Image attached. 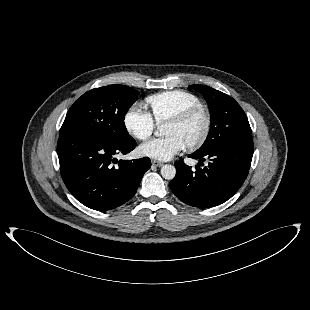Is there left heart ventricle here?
I'll return each instance as SVG.
<instances>
[{
	"label": "left heart ventricle",
	"instance_id": "obj_1",
	"mask_svg": "<svg viewBox=\"0 0 310 310\" xmlns=\"http://www.w3.org/2000/svg\"><path fill=\"white\" fill-rule=\"evenodd\" d=\"M204 129V118L196 116L188 122L180 125L166 123L164 128L165 135H176L184 143V145L195 142Z\"/></svg>",
	"mask_w": 310,
	"mask_h": 310
}]
</instances>
